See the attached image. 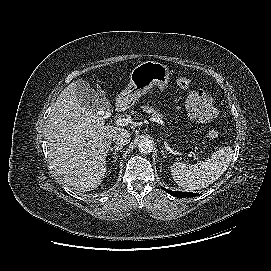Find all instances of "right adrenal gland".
Listing matches in <instances>:
<instances>
[{"instance_id": "obj_1", "label": "right adrenal gland", "mask_w": 271, "mask_h": 271, "mask_svg": "<svg viewBox=\"0 0 271 271\" xmlns=\"http://www.w3.org/2000/svg\"><path fill=\"white\" fill-rule=\"evenodd\" d=\"M122 148H123L122 146L110 147L109 150H108V153H111L114 150L113 158H115V155L117 154V152L120 151Z\"/></svg>"}]
</instances>
